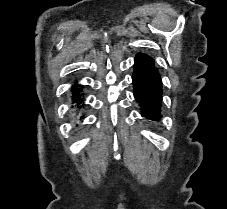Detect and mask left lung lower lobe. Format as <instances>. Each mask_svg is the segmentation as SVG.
I'll return each mask as SVG.
<instances>
[{"instance_id":"0a47b994","label":"left lung lower lobe","mask_w":227,"mask_h":209,"mask_svg":"<svg viewBox=\"0 0 227 209\" xmlns=\"http://www.w3.org/2000/svg\"><path fill=\"white\" fill-rule=\"evenodd\" d=\"M134 97L142 107V114L153 121H159L162 104V82L154 59L138 53L134 59Z\"/></svg>"}]
</instances>
